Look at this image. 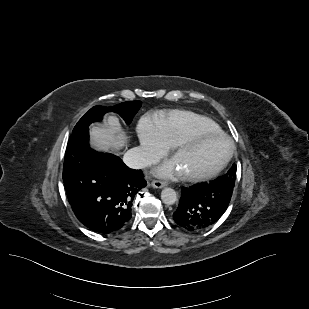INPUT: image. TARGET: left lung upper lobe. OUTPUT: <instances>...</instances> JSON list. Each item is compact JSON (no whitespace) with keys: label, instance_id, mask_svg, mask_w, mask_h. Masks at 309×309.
Returning a JSON list of instances; mask_svg holds the SVG:
<instances>
[{"label":"left lung upper lobe","instance_id":"left-lung-upper-lobe-1","mask_svg":"<svg viewBox=\"0 0 309 309\" xmlns=\"http://www.w3.org/2000/svg\"><path fill=\"white\" fill-rule=\"evenodd\" d=\"M236 165L233 164L230 170L222 177H219L217 180H215L216 184L219 185H227V186H233L236 179Z\"/></svg>","mask_w":309,"mask_h":309}]
</instances>
